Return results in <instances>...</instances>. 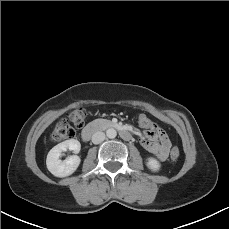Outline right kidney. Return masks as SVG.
Listing matches in <instances>:
<instances>
[{
    "label": "right kidney",
    "mask_w": 229,
    "mask_h": 229,
    "mask_svg": "<svg viewBox=\"0 0 229 229\" xmlns=\"http://www.w3.org/2000/svg\"><path fill=\"white\" fill-rule=\"evenodd\" d=\"M67 149L77 154L81 149V144L78 140L69 139L54 146L47 155V168L56 177L62 178L73 174L81 162L77 155H72L63 161L60 160L61 153Z\"/></svg>",
    "instance_id": "obj_1"
}]
</instances>
